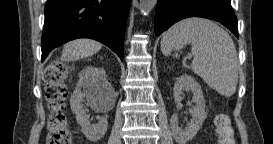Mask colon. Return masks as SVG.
Returning <instances> with one entry per match:
<instances>
[{
	"label": "colon",
	"mask_w": 273,
	"mask_h": 144,
	"mask_svg": "<svg viewBox=\"0 0 273 144\" xmlns=\"http://www.w3.org/2000/svg\"><path fill=\"white\" fill-rule=\"evenodd\" d=\"M68 71L61 63L51 64L43 75L46 99L50 109L47 144H70L72 134L64 114L68 91L65 84ZM218 144H234V130L230 116L219 113L214 121Z\"/></svg>",
	"instance_id": "obj_1"
}]
</instances>
